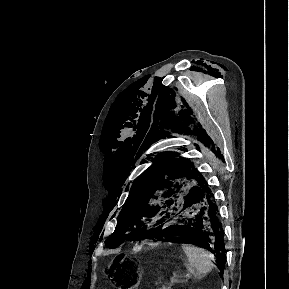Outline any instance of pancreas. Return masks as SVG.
<instances>
[{"label": "pancreas", "instance_id": "obj_1", "mask_svg": "<svg viewBox=\"0 0 289 289\" xmlns=\"http://www.w3.org/2000/svg\"><path fill=\"white\" fill-rule=\"evenodd\" d=\"M161 289H171V286H162Z\"/></svg>", "mask_w": 289, "mask_h": 289}]
</instances>
